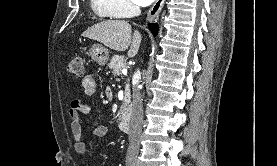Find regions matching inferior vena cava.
Here are the masks:
<instances>
[{
	"instance_id": "inferior-vena-cava-1",
	"label": "inferior vena cava",
	"mask_w": 277,
	"mask_h": 166,
	"mask_svg": "<svg viewBox=\"0 0 277 166\" xmlns=\"http://www.w3.org/2000/svg\"><path fill=\"white\" fill-rule=\"evenodd\" d=\"M134 12L140 14L139 7H134ZM136 75L140 77V71L136 72ZM143 123V105L142 96L138 88V84L133 87V100H132V119L129 131V146L127 150V157H137L140 146V135L142 131Z\"/></svg>"
}]
</instances>
